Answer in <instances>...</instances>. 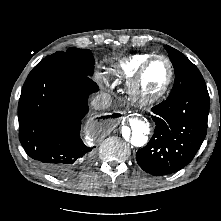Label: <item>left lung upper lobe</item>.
<instances>
[{"instance_id":"5c2ea615","label":"left lung upper lobe","mask_w":221,"mask_h":221,"mask_svg":"<svg viewBox=\"0 0 221 221\" xmlns=\"http://www.w3.org/2000/svg\"><path fill=\"white\" fill-rule=\"evenodd\" d=\"M165 48L175 70V82L169 97L179 96L190 89L206 88L200 71L185 55L168 45Z\"/></svg>"}]
</instances>
